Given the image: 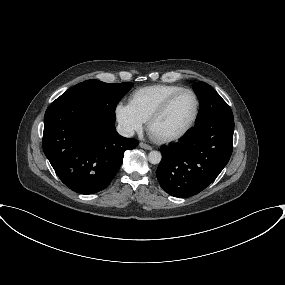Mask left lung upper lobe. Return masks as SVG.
<instances>
[{
	"label": "left lung upper lobe",
	"mask_w": 285,
	"mask_h": 285,
	"mask_svg": "<svg viewBox=\"0 0 285 285\" xmlns=\"http://www.w3.org/2000/svg\"><path fill=\"white\" fill-rule=\"evenodd\" d=\"M193 89L200 103L196 124L218 117L233 118L231 108L213 87L204 82H197L193 84Z\"/></svg>",
	"instance_id": "obj_1"
}]
</instances>
